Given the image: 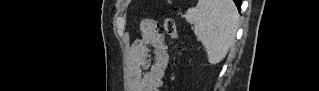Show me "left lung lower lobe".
<instances>
[{"instance_id": "left-lung-lower-lobe-1", "label": "left lung lower lobe", "mask_w": 319, "mask_h": 91, "mask_svg": "<svg viewBox=\"0 0 319 91\" xmlns=\"http://www.w3.org/2000/svg\"><path fill=\"white\" fill-rule=\"evenodd\" d=\"M238 8V10H240V6H241V0H233Z\"/></svg>"}]
</instances>
